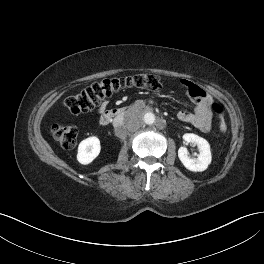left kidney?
I'll return each mask as SVG.
<instances>
[{
    "label": "left kidney",
    "instance_id": "1",
    "mask_svg": "<svg viewBox=\"0 0 264 264\" xmlns=\"http://www.w3.org/2000/svg\"><path fill=\"white\" fill-rule=\"evenodd\" d=\"M183 139L187 143L196 144L199 149V154L196 159H191L189 157L187 148L180 147L178 150V157L182 164L190 171L201 172L206 170L212 160L210 145L208 141L193 133L184 134Z\"/></svg>",
    "mask_w": 264,
    "mask_h": 264
}]
</instances>
